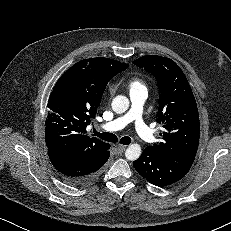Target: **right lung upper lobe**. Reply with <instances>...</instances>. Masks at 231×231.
I'll return each instance as SVG.
<instances>
[{"label": "right lung upper lobe", "mask_w": 231, "mask_h": 231, "mask_svg": "<svg viewBox=\"0 0 231 231\" xmlns=\"http://www.w3.org/2000/svg\"><path fill=\"white\" fill-rule=\"evenodd\" d=\"M128 64L110 58H90L77 62L59 80L73 83L67 95L52 91L45 121L48 152L71 160H88L104 154L109 144L86 134L95 117L106 84Z\"/></svg>", "instance_id": "obj_1"}]
</instances>
